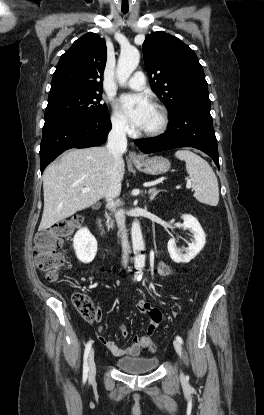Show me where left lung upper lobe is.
Wrapping results in <instances>:
<instances>
[{"mask_svg": "<svg viewBox=\"0 0 264 415\" xmlns=\"http://www.w3.org/2000/svg\"><path fill=\"white\" fill-rule=\"evenodd\" d=\"M143 56L152 90L167 106L170 116L189 104L211 103L202 65L177 37L163 31L148 35Z\"/></svg>", "mask_w": 264, "mask_h": 415, "instance_id": "left-lung-upper-lobe-1", "label": "left lung upper lobe"}]
</instances>
